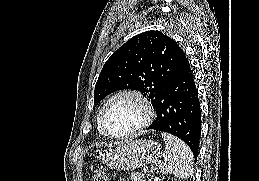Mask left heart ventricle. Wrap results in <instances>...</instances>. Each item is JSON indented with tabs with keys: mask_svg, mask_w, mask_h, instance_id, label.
<instances>
[{
	"mask_svg": "<svg viewBox=\"0 0 259 181\" xmlns=\"http://www.w3.org/2000/svg\"><path fill=\"white\" fill-rule=\"evenodd\" d=\"M143 109L132 97L114 100L105 112V125L113 134H124L136 128L142 121Z\"/></svg>",
	"mask_w": 259,
	"mask_h": 181,
	"instance_id": "1",
	"label": "left heart ventricle"
}]
</instances>
